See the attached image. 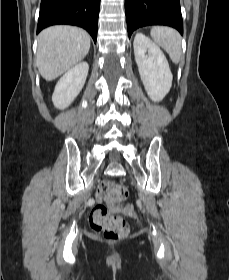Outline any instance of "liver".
Listing matches in <instances>:
<instances>
[{"instance_id": "obj_1", "label": "liver", "mask_w": 229, "mask_h": 280, "mask_svg": "<svg viewBox=\"0 0 229 280\" xmlns=\"http://www.w3.org/2000/svg\"><path fill=\"white\" fill-rule=\"evenodd\" d=\"M89 34L78 27L57 25L38 35L37 67L41 76L52 81L74 67L90 49Z\"/></svg>"}]
</instances>
